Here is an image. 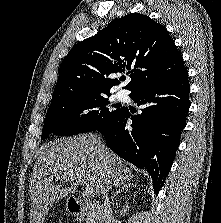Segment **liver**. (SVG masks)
Returning a JSON list of instances; mask_svg holds the SVG:
<instances>
[{
  "label": "liver",
  "mask_w": 221,
  "mask_h": 223,
  "mask_svg": "<svg viewBox=\"0 0 221 223\" xmlns=\"http://www.w3.org/2000/svg\"><path fill=\"white\" fill-rule=\"evenodd\" d=\"M71 175L93 188L98 197L133 178L126 162L96 135L80 134L45 145L40 149L29 184L30 223H43L50 207L77 189L76 183L67 187L54 184V179L63 181Z\"/></svg>",
  "instance_id": "obj_1"
}]
</instances>
